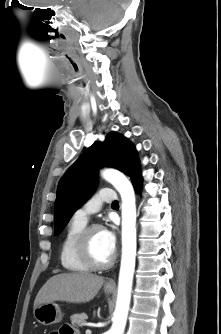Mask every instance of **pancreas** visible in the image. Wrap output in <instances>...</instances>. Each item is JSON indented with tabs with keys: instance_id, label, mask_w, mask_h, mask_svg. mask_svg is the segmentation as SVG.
Listing matches in <instances>:
<instances>
[{
	"instance_id": "obj_1",
	"label": "pancreas",
	"mask_w": 221,
	"mask_h": 334,
	"mask_svg": "<svg viewBox=\"0 0 221 334\" xmlns=\"http://www.w3.org/2000/svg\"><path fill=\"white\" fill-rule=\"evenodd\" d=\"M86 319L87 315L85 313L75 314L72 315L70 318L71 323L76 326H82L85 323Z\"/></svg>"
}]
</instances>
